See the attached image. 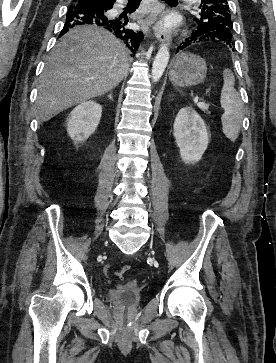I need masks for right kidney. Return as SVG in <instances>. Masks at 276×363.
Returning <instances> with one entry per match:
<instances>
[{
  "label": "right kidney",
  "instance_id": "obj_1",
  "mask_svg": "<svg viewBox=\"0 0 276 363\" xmlns=\"http://www.w3.org/2000/svg\"><path fill=\"white\" fill-rule=\"evenodd\" d=\"M102 114V106L87 101L75 107L66 119L67 132L77 143H84L97 129Z\"/></svg>",
  "mask_w": 276,
  "mask_h": 363
}]
</instances>
